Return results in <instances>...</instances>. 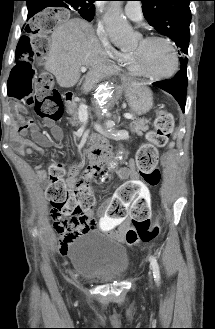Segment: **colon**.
Segmentation results:
<instances>
[{
	"label": "colon",
	"instance_id": "5ec220e1",
	"mask_svg": "<svg viewBox=\"0 0 215 329\" xmlns=\"http://www.w3.org/2000/svg\"><path fill=\"white\" fill-rule=\"evenodd\" d=\"M64 21H70V14H61L57 10L48 14H32V19L24 26L25 37H18L19 55H13V61L7 62L10 73H22L12 74V81L5 87L10 103H21L22 109H25L28 103L39 117L51 121L58 120L61 116V96L52 86V74H36L33 64L42 58L46 50L45 38H52L55 26H64ZM32 81H35L34 85ZM173 128L172 113L160 109L154 129L147 134V143L137 152L138 170L144 182L150 187H157L160 183L161 175L157 167L158 148L166 145ZM88 174L107 176L106 171L94 167L88 170ZM78 176L79 171L76 178ZM49 179L46 195L51 202L52 211L60 216L59 222L54 225L58 232L87 216L94 204V191L84 178L71 184L68 177H65V169L60 163L50 166ZM148 201L150 204V199ZM156 219L164 221L165 216L157 214ZM159 234L160 226H150V218H132V226L126 231L129 240L142 242H149Z\"/></svg>",
	"mask_w": 215,
	"mask_h": 329
}]
</instances>
